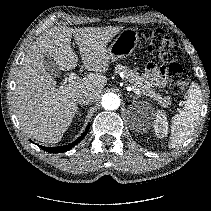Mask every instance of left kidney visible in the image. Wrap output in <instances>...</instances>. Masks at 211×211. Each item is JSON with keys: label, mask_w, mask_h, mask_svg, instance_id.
I'll return each mask as SVG.
<instances>
[{"label": "left kidney", "mask_w": 211, "mask_h": 211, "mask_svg": "<svg viewBox=\"0 0 211 211\" xmlns=\"http://www.w3.org/2000/svg\"><path fill=\"white\" fill-rule=\"evenodd\" d=\"M152 116L151 121L145 119L142 121V123L144 124L147 122L150 126H153L157 137H166L168 133V122L165 114L162 111H157L152 113Z\"/></svg>", "instance_id": "5707ae66"}]
</instances>
